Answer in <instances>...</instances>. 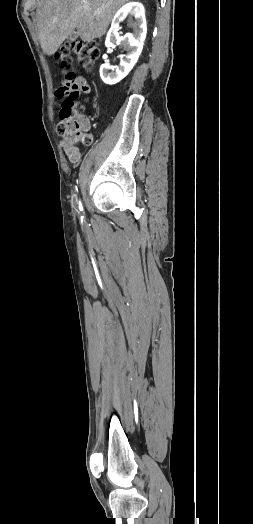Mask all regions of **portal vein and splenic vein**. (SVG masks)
<instances>
[{
    "label": "portal vein and splenic vein",
    "mask_w": 253,
    "mask_h": 524,
    "mask_svg": "<svg viewBox=\"0 0 253 524\" xmlns=\"http://www.w3.org/2000/svg\"><path fill=\"white\" fill-rule=\"evenodd\" d=\"M85 9H86V10H89V9H90L89 5H86V6H85ZM97 13H98V12H97Z\"/></svg>",
    "instance_id": "portal-vein-and-splenic-vein-1"
}]
</instances>
